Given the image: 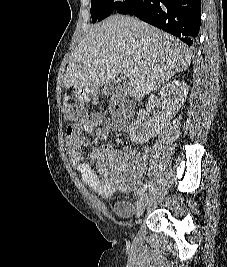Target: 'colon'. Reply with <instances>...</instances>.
<instances>
[{
    "mask_svg": "<svg viewBox=\"0 0 227 267\" xmlns=\"http://www.w3.org/2000/svg\"><path fill=\"white\" fill-rule=\"evenodd\" d=\"M107 110L115 114L118 119H121L127 117L126 114L129 111V106L121 99H112L108 103ZM64 116L70 121H84L87 118V112L81 103L71 104V102H69L64 107Z\"/></svg>",
    "mask_w": 227,
    "mask_h": 267,
    "instance_id": "1",
    "label": "colon"
}]
</instances>
